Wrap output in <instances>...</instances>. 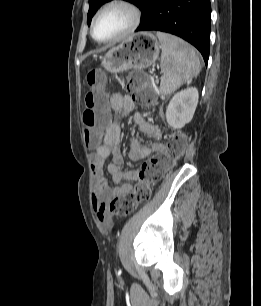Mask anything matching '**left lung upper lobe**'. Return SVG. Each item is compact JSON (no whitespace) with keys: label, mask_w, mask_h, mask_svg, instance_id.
<instances>
[{"label":"left lung upper lobe","mask_w":261,"mask_h":306,"mask_svg":"<svg viewBox=\"0 0 261 306\" xmlns=\"http://www.w3.org/2000/svg\"><path fill=\"white\" fill-rule=\"evenodd\" d=\"M108 1H111V0H89V11H88V15H87L88 25H90L91 19L94 16V14L96 13V11L98 10V8L102 4H104L105 2H108ZM125 1L133 3L140 10H142L148 0H125Z\"/></svg>","instance_id":"5c2ea615"}]
</instances>
